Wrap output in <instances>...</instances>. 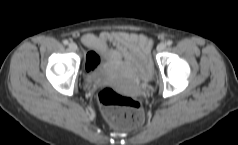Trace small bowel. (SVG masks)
I'll list each match as a JSON object with an SVG mask.
<instances>
[{"label": "small bowel", "mask_w": 238, "mask_h": 145, "mask_svg": "<svg viewBox=\"0 0 238 145\" xmlns=\"http://www.w3.org/2000/svg\"><path fill=\"white\" fill-rule=\"evenodd\" d=\"M81 41L106 60H125L134 65L143 78L151 76V41L143 34L125 31L102 32L99 35L88 33L81 37Z\"/></svg>", "instance_id": "obj_1"}]
</instances>
